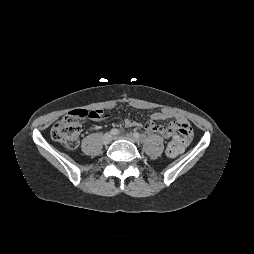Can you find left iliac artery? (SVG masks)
Returning <instances> with one entry per match:
<instances>
[{
  "label": "left iliac artery",
  "instance_id": "44dca946",
  "mask_svg": "<svg viewBox=\"0 0 254 254\" xmlns=\"http://www.w3.org/2000/svg\"><path fill=\"white\" fill-rule=\"evenodd\" d=\"M133 136L136 138V139H140L141 135L138 133V132H135L133 134Z\"/></svg>",
  "mask_w": 254,
  "mask_h": 254
}]
</instances>
